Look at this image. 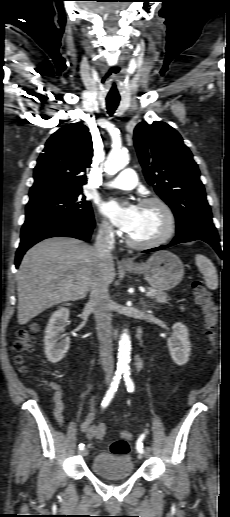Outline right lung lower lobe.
Here are the masks:
<instances>
[{
	"label": "right lung lower lobe",
	"instance_id": "1",
	"mask_svg": "<svg viewBox=\"0 0 230 517\" xmlns=\"http://www.w3.org/2000/svg\"><path fill=\"white\" fill-rule=\"evenodd\" d=\"M95 226L94 217H66L45 215L25 220L21 242L16 252L15 265L19 266L25 252L39 241L50 237H74L89 240Z\"/></svg>",
	"mask_w": 230,
	"mask_h": 517
}]
</instances>
